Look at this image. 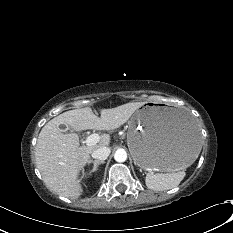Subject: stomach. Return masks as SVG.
Listing matches in <instances>:
<instances>
[{
  "mask_svg": "<svg viewBox=\"0 0 233 233\" xmlns=\"http://www.w3.org/2000/svg\"><path fill=\"white\" fill-rule=\"evenodd\" d=\"M127 144L134 162L145 170L176 171L198 156L200 134L180 107L145 104L128 124Z\"/></svg>",
  "mask_w": 233,
  "mask_h": 233,
  "instance_id": "1",
  "label": "stomach"
}]
</instances>
